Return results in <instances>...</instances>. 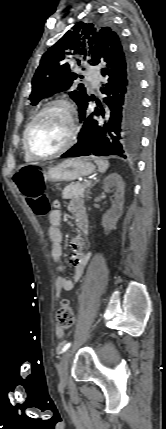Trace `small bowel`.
<instances>
[{
    "label": "small bowel",
    "instance_id": "1",
    "mask_svg": "<svg viewBox=\"0 0 166 429\" xmlns=\"http://www.w3.org/2000/svg\"><path fill=\"white\" fill-rule=\"evenodd\" d=\"M69 211L74 214L76 225L79 230L88 234L89 232V222L87 213L83 202L75 198L69 204ZM49 228H48V237L51 241V257L55 263L58 264L57 270L59 275L55 281V287L57 294L59 295L63 290L70 291L74 288L75 283L81 278L85 267L90 259L91 254L85 253L83 250V243L80 238H73L71 241V265L74 269V274L72 278H68L62 274L64 266L61 264L62 257V233L60 230L61 224V213L59 210H53L49 213ZM56 336L61 339L64 336V330L57 327Z\"/></svg>",
    "mask_w": 166,
    "mask_h": 429
}]
</instances>
